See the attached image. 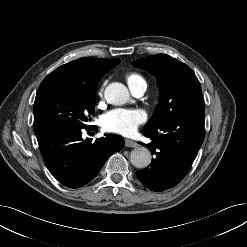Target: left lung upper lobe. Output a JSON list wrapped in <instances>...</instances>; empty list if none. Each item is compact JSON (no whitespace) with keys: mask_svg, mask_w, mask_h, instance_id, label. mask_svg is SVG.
<instances>
[{"mask_svg":"<svg viewBox=\"0 0 247 247\" xmlns=\"http://www.w3.org/2000/svg\"><path fill=\"white\" fill-rule=\"evenodd\" d=\"M132 64L155 75L160 91L157 109L143 130H155L177 117H204L200 83L186 64L165 54L141 58Z\"/></svg>","mask_w":247,"mask_h":247,"instance_id":"1","label":"left lung upper lobe"}]
</instances>
